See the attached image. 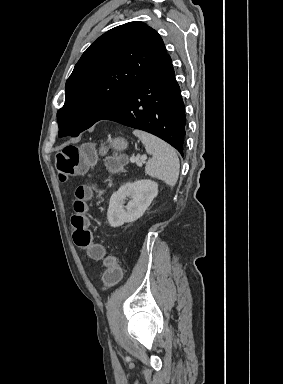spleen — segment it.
I'll list each match as a JSON object with an SVG mask.
<instances>
[{"mask_svg":"<svg viewBox=\"0 0 283 384\" xmlns=\"http://www.w3.org/2000/svg\"><path fill=\"white\" fill-rule=\"evenodd\" d=\"M133 134L144 144L147 154L153 156L145 166V174L151 178L162 180L168 186H175L180 164L174 148L156 136H151V134H146L141 130H134Z\"/></svg>","mask_w":283,"mask_h":384,"instance_id":"spleen-1","label":"spleen"}]
</instances>
